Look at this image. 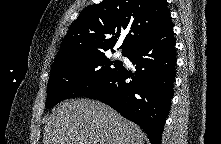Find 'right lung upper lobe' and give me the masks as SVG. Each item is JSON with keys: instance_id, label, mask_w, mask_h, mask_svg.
<instances>
[{"instance_id": "1", "label": "right lung upper lobe", "mask_w": 221, "mask_h": 144, "mask_svg": "<svg viewBox=\"0 0 221 144\" xmlns=\"http://www.w3.org/2000/svg\"><path fill=\"white\" fill-rule=\"evenodd\" d=\"M171 25L166 0H103L86 7L69 27L52 68L113 50L126 53Z\"/></svg>"}]
</instances>
